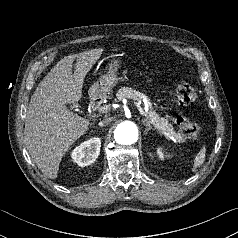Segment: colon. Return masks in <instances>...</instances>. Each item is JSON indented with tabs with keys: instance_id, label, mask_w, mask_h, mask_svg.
Returning <instances> with one entry per match:
<instances>
[{
	"instance_id": "colon-1",
	"label": "colon",
	"mask_w": 238,
	"mask_h": 238,
	"mask_svg": "<svg viewBox=\"0 0 238 238\" xmlns=\"http://www.w3.org/2000/svg\"><path fill=\"white\" fill-rule=\"evenodd\" d=\"M176 97L181 106L191 104L196 98V92L192 86L185 82H180L176 85ZM175 123L179 127L182 136L188 139H198L201 135V128L195 123L189 122L182 116H177Z\"/></svg>"
}]
</instances>
